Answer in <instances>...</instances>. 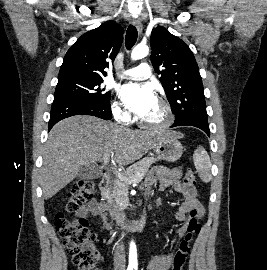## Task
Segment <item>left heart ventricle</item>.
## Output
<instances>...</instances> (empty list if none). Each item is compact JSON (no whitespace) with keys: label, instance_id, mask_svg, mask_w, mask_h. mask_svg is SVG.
<instances>
[{"label":"left heart ventricle","instance_id":"left-heart-ventricle-1","mask_svg":"<svg viewBox=\"0 0 267 270\" xmlns=\"http://www.w3.org/2000/svg\"><path fill=\"white\" fill-rule=\"evenodd\" d=\"M141 118L144 121L153 124L162 122L164 120V111L162 106L157 101L155 105Z\"/></svg>","mask_w":267,"mask_h":270}]
</instances>
